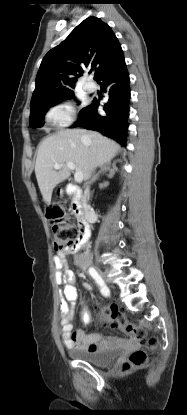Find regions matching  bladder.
<instances>
[{"label": "bladder", "instance_id": "bladder-1", "mask_svg": "<svg viewBox=\"0 0 187 415\" xmlns=\"http://www.w3.org/2000/svg\"><path fill=\"white\" fill-rule=\"evenodd\" d=\"M121 352V347L99 351H87L84 349L73 348L69 351V354L75 359L88 362L95 366L104 367L110 365Z\"/></svg>", "mask_w": 187, "mask_h": 415}]
</instances>
